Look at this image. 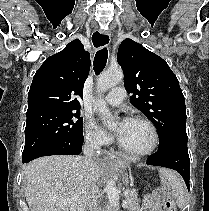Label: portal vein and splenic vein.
<instances>
[{"instance_id":"portal-vein-and-splenic-vein-1","label":"portal vein and splenic vein","mask_w":209,"mask_h":211,"mask_svg":"<svg viewBox=\"0 0 209 211\" xmlns=\"http://www.w3.org/2000/svg\"><path fill=\"white\" fill-rule=\"evenodd\" d=\"M129 192H130L129 190H126V191L124 192V194L127 195ZM77 198H78V196H72L71 198L62 199L61 201H62L63 203H66V204H71V203H73L74 201H76Z\"/></svg>"}]
</instances>
